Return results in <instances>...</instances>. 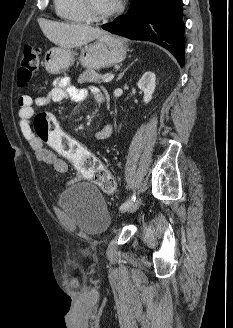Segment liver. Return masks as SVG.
Masks as SVG:
<instances>
[{"label":"liver","mask_w":233,"mask_h":328,"mask_svg":"<svg viewBox=\"0 0 233 328\" xmlns=\"http://www.w3.org/2000/svg\"><path fill=\"white\" fill-rule=\"evenodd\" d=\"M39 25L44 35L62 48L80 47L105 34L99 28L84 24L59 23L41 19Z\"/></svg>","instance_id":"obj_1"}]
</instances>
